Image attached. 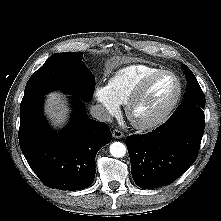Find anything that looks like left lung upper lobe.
<instances>
[{"label":"left lung upper lobe","instance_id":"obj_1","mask_svg":"<svg viewBox=\"0 0 221 221\" xmlns=\"http://www.w3.org/2000/svg\"><path fill=\"white\" fill-rule=\"evenodd\" d=\"M183 68L189 83L182 104L198 106L203 109L205 107V96L203 91L192 71L187 66H183Z\"/></svg>","mask_w":221,"mask_h":221}]
</instances>
